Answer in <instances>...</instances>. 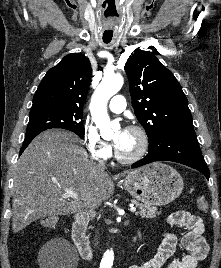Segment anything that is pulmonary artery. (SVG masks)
Here are the masks:
<instances>
[{
	"label": "pulmonary artery",
	"instance_id": "1",
	"mask_svg": "<svg viewBox=\"0 0 221 268\" xmlns=\"http://www.w3.org/2000/svg\"><path fill=\"white\" fill-rule=\"evenodd\" d=\"M125 107L126 101L122 95L114 96L109 103V109L113 113H121L125 109Z\"/></svg>",
	"mask_w": 221,
	"mask_h": 268
}]
</instances>
